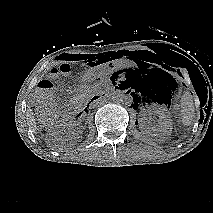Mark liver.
<instances>
[{"mask_svg":"<svg viewBox=\"0 0 213 213\" xmlns=\"http://www.w3.org/2000/svg\"><path fill=\"white\" fill-rule=\"evenodd\" d=\"M27 119L29 122V126L35 131L37 129V127H36L35 119H34V116L31 112V110L27 111Z\"/></svg>","mask_w":213,"mask_h":213,"instance_id":"liver-1","label":"liver"}]
</instances>
